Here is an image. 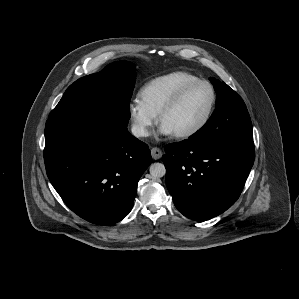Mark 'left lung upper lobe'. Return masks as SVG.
<instances>
[{
	"label": "left lung upper lobe",
	"mask_w": 299,
	"mask_h": 299,
	"mask_svg": "<svg viewBox=\"0 0 299 299\" xmlns=\"http://www.w3.org/2000/svg\"><path fill=\"white\" fill-rule=\"evenodd\" d=\"M217 93L216 109L190 139L202 142L253 141L252 123L241 97L225 82L209 78Z\"/></svg>",
	"instance_id": "5c2ea615"
}]
</instances>
